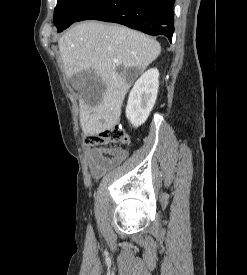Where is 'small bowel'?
<instances>
[{"label": "small bowel", "mask_w": 247, "mask_h": 275, "mask_svg": "<svg viewBox=\"0 0 247 275\" xmlns=\"http://www.w3.org/2000/svg\"><path fill=\"white\" fill-rule=\"evenodd\" d=\"M127 154L123 148H92L87 153L86 160L93 179H99L109 170L120 165Z\"/></svg>", "instance_id": "c3829d8e"}]
</instances>
